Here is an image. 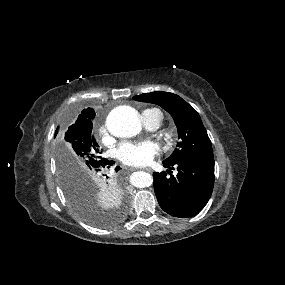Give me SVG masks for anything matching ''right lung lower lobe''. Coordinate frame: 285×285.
I'll return each mask as SVG.
<instances>
[{"instance_id":"1","label":"right lung lower lobe","mask_w":285,"mask_h":285,"mask_svg":"<svg viewBox=\"0 0 285 285\" xmlns=\"http://www.w3.org/2000/svg\"><path fill=\"white\" fill-rule=\"evenodd\" d=\"M113 161H109V160H107V159H102L101 160V167H102V169H105V168H110V166L111 165H113ZM120 168L119 167H117L116 168V171H118ZM108 178V177H107Z\"/></svg>"}]
</instances>
